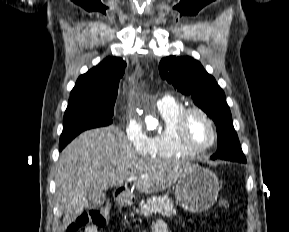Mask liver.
<instances>
[{"instance_id": "1", "label": "liver", "mask_w": 289, "mask_h": 232, "mask_svg": "<svg viewBox=\"0 0 289 232\" xmlns=\"http://www.w3.org/2000/svg\"><path fill=\"white\" fill-rule=\"evenodd\" d=\"M191 167L180 160L139 158L118 127L85 131L63 149L55 173L64 228L83 213L92 190L119 187L129 177L138 176L134 187L139 192L158 193L172 186Z\"/></svg>"}]
</instances>
